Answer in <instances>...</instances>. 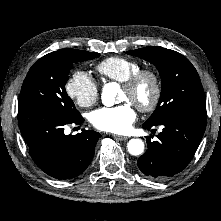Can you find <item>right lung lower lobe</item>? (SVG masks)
<instances>
[{
  "mask_svg": "<svg viewBox=\"0 0 221 221\" xmlns=\"http://www.w3.org/2000/svg\"><path fill=\"white\" fill-rule=\"evenodd\" d=\"M82 116L65 118L43 108H27L18 112L19 128L36 165L57 179H71L89 166L95 145L101 135L82 130L76 135H65L64 126L81 124Z\"/></svg>",
  "mask_w": 221,
  "mask_h": 221,
  "instance_id": "1",
  "label": "right lung lower lobe"
}]
</instances>
